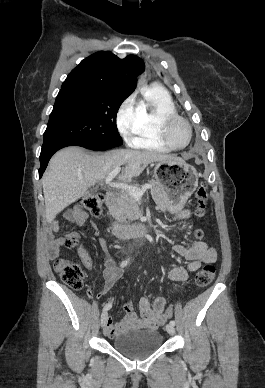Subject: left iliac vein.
Instances as JSON below:
<instances>
[{
    "label": "left iliac vein",
    "instance_id": "4c4485c4",
    "mask_svg": "<svg viewBox=\"0 0 265 388\" xmlns=\"http://www.w3.org/2000/svg\"><path fill=\"white\" fill-rule=\"evenodd\" d=\"M166 331L170 334V335H174L175 334V328L174 326L170 325V324H167L166 325Z\"/></svg>",
    "mask_w": 265,
    "mask_h": 388
}]
</instances>
